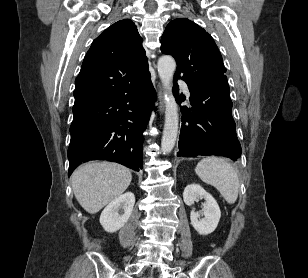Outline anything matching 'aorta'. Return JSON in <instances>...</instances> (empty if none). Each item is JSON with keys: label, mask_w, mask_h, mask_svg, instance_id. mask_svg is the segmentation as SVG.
<instances>
[{"label": "aorta", "mask_w": 308, "mask_h": 278, "mask_svg": "<svg viewBox=\"0 0 308 278\" xmlns=\"http://www.w3.org/2000/svg\"><path fill=\"white\" fill-rule=\"evenodd\" d=\"M158 74L165 93V124L161 140V150L164 154L170 153L175 145L178 134V109L175 98L172 94V80L176 69V62L173 57L165 55L159 58Z\"/></svg>", "instance_id": "1"}]
</instances>
